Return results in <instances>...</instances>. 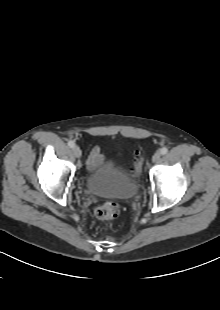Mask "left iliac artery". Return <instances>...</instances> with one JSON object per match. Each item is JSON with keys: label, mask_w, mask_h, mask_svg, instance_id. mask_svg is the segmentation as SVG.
Here are the masks:
<instances>
[{"label": "left iliac artery", "mask_w": 220, "mask_h": 310, "mask_svg": "<svg viewBox=\"0 0 220 310\" xmlns=\"http://www.w3.org/2000/svg\"><path fill=\"white\" fill-rule=\"evenodd\" d=\"M160 152H161L162 155H165L168 152V148L167 147H163V148H161Z\"/></svg>", "instance_id": "left-iliac-artery-1"}]
</instances>
